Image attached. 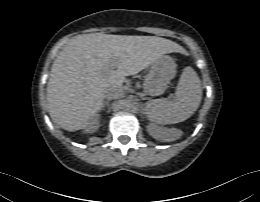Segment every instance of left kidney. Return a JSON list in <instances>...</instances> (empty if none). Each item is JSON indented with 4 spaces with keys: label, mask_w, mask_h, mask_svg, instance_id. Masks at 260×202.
I'll return each mask as SVG.
<instances>
[{
    "label": "left kidney",
    "mask_w": 260,
    "mask_h": 202,
    "mask_svg": "<svg viewBox=\"0 0 260 202\" xmlns=\"http://www.w3.org/2000/svg\"><path fill=\"white\" fill-rule=\"evenodd\" d=\"M148 132L150 133V135H152L154 138L159 139L162 138L165 135H169L170 133H172V130L169 129H164L161 127H157L153 124H150L148 126Z\"/></svg>",
    "instance_id": "left-kidney-1"
}]
</instances>
